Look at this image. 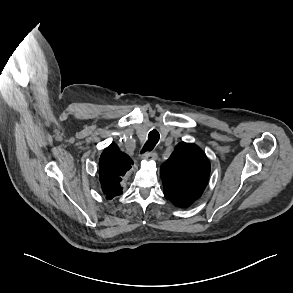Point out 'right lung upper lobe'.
<instances>
[{"mask_svg": "<svg viewBox=\"0 0 293 293\" xmlns=\"http://www.w3.org/2000/svg\"><path fill=\"white\" fill-rule=\"evenodd\" d=\"M132 164L130 157L121 152L116 145L111 144L104 149L99 161V175L101 187L107 199L123 193L120 182Z\"/></svg>", "mask_w": 293, "mask_h": 293, "instance_id": "right-lung-upper-lobe-1", "label": "right lung upper lobe"}]
</instances>
